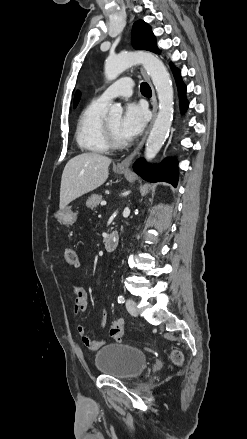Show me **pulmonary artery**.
<instances>
[{"instance_id": "pulmonary-artery-1", "label": "pulmonary artery", "mask_w": 247, "mask_h": 439, "mask_svg": "<svg viewBox=\"0 0 247 439\" xmlns=\"http://www.w3.org/2000/svg\"><path fill=\"white\" fill-rule=\"evenodd\" d=\"M132 92L133 81L130 78H122L108 87L97 99L108 104L116 97H129Z\"/></svg>"}]
</instances>
